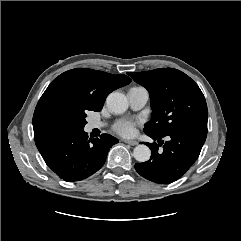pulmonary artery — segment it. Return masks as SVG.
Wrapping results in <instances>:
<instances>
[{
	"instance_id": "pulmonary-artery-1",
	"label": "pulmonary artery",
	"mask_w": 241,
	"mask_h": 241,
	"mask_svg": "<svg viewBox=\"0 0 241 241\" xmlns=\"http://www.w3.org/2000/svg\"><path fill=\"white\" fill-rule=\"evenodd\" d=\"M127 98L130 104V107L133 110H139L143 108L149 100V93L143 87H132L127 93ZM103 124L97 121H92L89 123V128H100Z\"/></svg>"
}]
</instances>
